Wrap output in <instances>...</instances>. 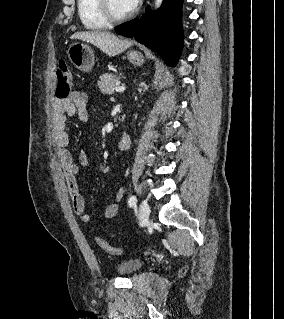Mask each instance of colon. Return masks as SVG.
<instances>
[{
  "label": "colon",
  "mask_w": 284,
  "mask_h": 319,
  "mask_svg": "<svg viewBox=\"0 0 284 319\" xmlns=\"http://www.w3.org/2000/svg\"><path fill=\"white\" fill-rule=\"evenodd\" d=\"M73 79L68 65L61 62L57 69L56 96L58 99H67L72 90ZM96 244L105 252L112 255H119L124 252L123 248L115 247L100 237L95 238Z\"/></svg>",
  "instance_id": "obj_1"
}]
</instances>
